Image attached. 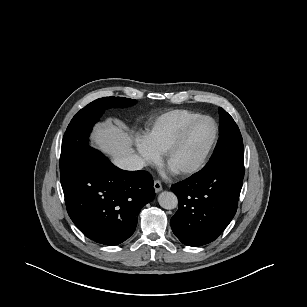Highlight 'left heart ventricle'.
<instances>
[{"instance_id": "b2bd125f", "label": "left heart ventricle", "mask_w": 307, "mask_h": 307, "mask_svg": "<svg viewBox=\"0 0 307 307\" xmlns=\"http://www.w3.org/2000/svg\"><path fill=\"white\" fill-rule=\"evenodd\" d=\"M213 136L212 122L202 120L195 124L171 155L168 168L172 171H179L197 164L209 147Z\"/></svg>"}]
</instances>
